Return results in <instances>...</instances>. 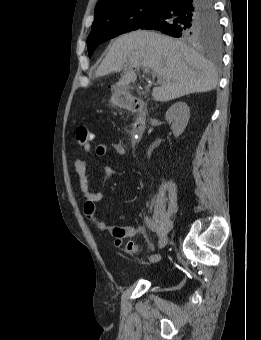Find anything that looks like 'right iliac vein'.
I'll use <instances>...</instances> for the list:
<instances>
[{"label":"right iliac vein","mask_w":261,"mask_h":340,"mask_svg":"<svg viewBox=\"0 0 261 340\" xmlns=\"http://www.w3.org/2000/svg\"><path fill=\"white\" fill-rule=\"evenodd\" d=\"M168 243V237L167 235H163L158 243V248L159 250H162L165 248V246L167 245Z\"/></svg>","instance_id":"right-iliac-vein-1"}]
</instances>
